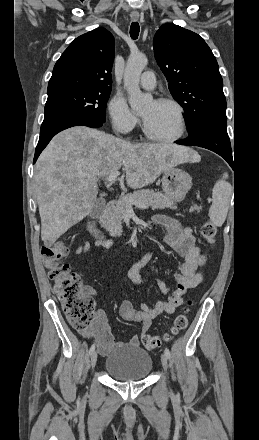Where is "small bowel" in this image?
<instances>
[{
  "label": "small bowel",
  "instance_id": "1",
  "mask_svg": "<svg viewBox=\"0 0 259 440\" xmlns=\"http://www.w3.org/2000/svg\"><path fill=\"white\" fill-rule=\"evenodd\" d=\"M153 223L165 229L163 242L181 259L178 270L174 273L176 288L171 291L170 285L159 278L153 281L164 294L166 300H159L151 305L142 303L139 308L134 307L130 300H124L119 308V315L126 321L141 323V334H135L129 340L131 346H139L140 340L146 335L153 320L161 313L171 314L176 307L183 303L185 293L196 288L202 280V267L207 263V257L196 244L191 228L182 226L177 220L165 217H153ZM112 244L110 239H95L94 245L98 248H108ZM91 248L89 242L82 243L76 250V256L85 258ZM152 259V252L144 254L135 262L127 273L128 279L136 285L143 286L150 279L141 274L142 268ZM83 337L94 339L98 351L102 355L108 354L122 343L115 342L106 320L105 313L98 310L90 327L80 330Z\"/></svg>",
  "mask_w": 259,
  "mask_h": 440
}]
</instances>
